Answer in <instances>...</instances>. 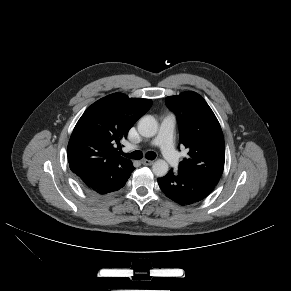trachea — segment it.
Returning a JSON list of instances; mask_svg holds the SVG:
<instances>
[{"label":"trachea","instance_id":"trachea-1","mask_svg":"<svg viewBox=\"0 0 291 291\" xmlns=\"http://www.w3.org/2000/svg\"><path fill=\"white\" fill-rule=\"evenodd\" d=\"M122 155H124L125 157L127 158H130V159H135V160H139L143 157V154L141 151L139 150H136L130 154H126V153H121ZM145 157L148 159V160H154L156 158V153L153 152V151H149L146 153Z\"/></svg>","mask_w":291,"mask_h":291}]
</instances>
